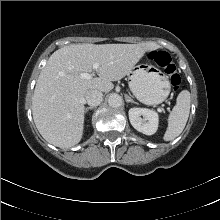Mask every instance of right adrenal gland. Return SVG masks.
Returning a JSON list of instances; mask_svg holds the SVG:
<instances>
[{"instance_id":"right-adrenal-gland-1","label":"right adrenal gland","mask_w":220,"mask_h":220,"mask_svg":"<svg viewBox=\"0 0 220 220\" xmlns=\"http://www.w3.org/2000/svg\"><path fill=\"white\" fill-rule=\"evenodd\" d=\"M92 109H94V107H86V108H85V113H87L88 110H92Z\"/></svg>"}]
</instances>
